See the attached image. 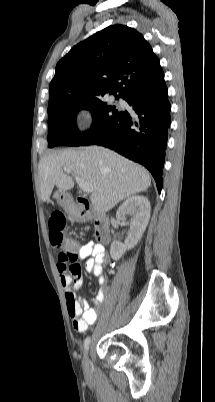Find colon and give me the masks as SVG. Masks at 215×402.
<instances>
[{"instance_id":"1","label":"colon","mask_w":215,"mask_h":402,"mask_svg":"<svg viewBox=\"0 0 215 402\" xmlns=\"http://www.w3.org/2000/svg\"><path fill=\"white\" fill-rule=\"evenodd\" d=\"M65 227V217L62 213H54L49 220L50 228V241L53 246L61 248L62 253H60L58 260L67 264V269L69 271L78 270L77 255L75 250L81 248V243L77 238H70L63 236V229Z\"/></svg>"}]
</instances>
